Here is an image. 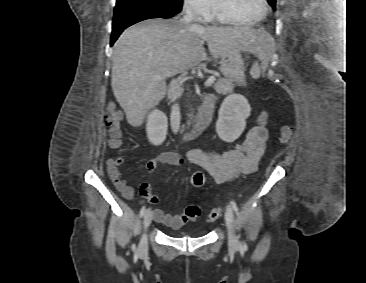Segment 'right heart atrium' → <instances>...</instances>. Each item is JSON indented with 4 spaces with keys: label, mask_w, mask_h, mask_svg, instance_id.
<instances>
[{
    "label": "right heart atrium",
    "mask_w": 366,
    "mask_h": 283,
    "mask_svg": "<svg viewBox=\"0 0 366 283\" xmlns=\"http://www.w3.org/2000/svg\"><path fill=\"white\" fill-rule=\"evenodd\" d=\"M186 12L195 19L205 18L211 10V0H183Z\"/></svg>",
    "instance_id": "d8ad5b80"
}]
</instances>
